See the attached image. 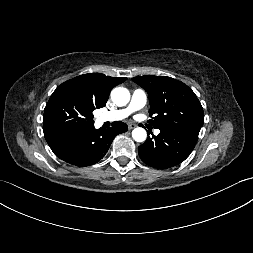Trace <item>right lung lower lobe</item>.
<instances>
[{
  "instance_id": "right-lung-lower-lobe-1",
  "label": "right lung lower lobe",
  "mask_w": 253,
  "mask_h": 253,
  "mask_svg": "<svg viewBox=\"0 0 253 253\" xmlns=\"http://www.w3.org/2000/svg\"><path fill=\"white\" fill-rule=\"evenodd\" d=\"M127 129L125 123L113 122L106 130L95 129L92 125L51 131L44 136L57 157L72 165L86 167L99 162L114 137Z\"/></svg>"
}]
</instances>
